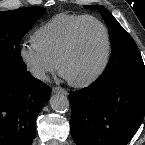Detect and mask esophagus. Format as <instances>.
<instances>
[{"label":"esophagus","mask_w":145,"mask_h":145,"mask_svg":"<svg viewBox=\"0 0 145 145\" xmlns=\"http://www.w3.org/2000/svg\"><path fill=\"white\" fill-rule=\"evenodd\" d=\"M52 93L53 94L61 93V94H64V95L68 94V92L65 89L61 88V87H53L52 88Z\"/></svg>","instance_id":"1"}]
</instances>
